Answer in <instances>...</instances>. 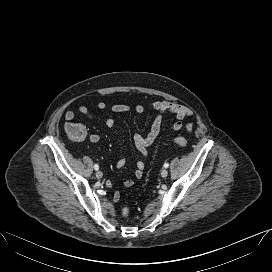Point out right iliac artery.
<instances>
[{
    "label": "right iliac artery",
    "mask_w": 272,
    "mask_h": 272,
    "mask_svg": "<svg viewBox=\"0 0 272 272\" xmlns=\"http://www.w3.org/2000/svg\"><path fill=\"white\" fill-rule=\"evenodd\" d=\"M94 169H95V170H98V169H99L98 164H95V165H94Z\"/></svg>",
    "instance_id": "82829eb1"
}]
</instances>
